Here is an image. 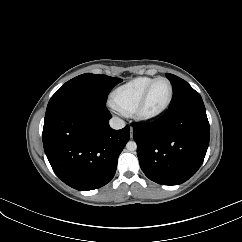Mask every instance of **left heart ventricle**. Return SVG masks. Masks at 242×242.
<instances>
[{"label":"left heart ventricle","instance_id":"1","mask_svg":"<svg viewBox=\"0 0 242 242\" xmlns=\"http://www.w3.org/2000/svg\"><path fill=\"white\" fill-rule=\"evenodd\" d=\"M170 88L166 81H157L152 87L145 105L146 112H153L161 108L169 97Z\"/></svg>","mask_w":242,"mask_h":242}]
</instances>
